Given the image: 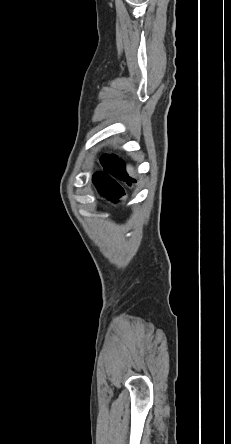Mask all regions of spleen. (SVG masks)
Instances as JSON below:
<instances>
[{
  "mask_svg": "<svg viewBox=\"0 0 231 444\" xmlns=\"http://www.w3.org/2000/svg\"><path fill=\"white\" fill-rule=\"evenodd\" d=\"M127 171L130 175L135 176L134 168L131 165L127 167Z\"/></svg>",
  "mask_w": 231,
  "mask_h": 444,
  "instance_id": "3e777b00",
  "label": "spleen"
}]
</instances>
